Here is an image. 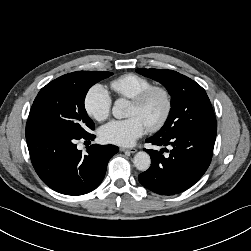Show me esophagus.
Segmentation results:
<instances>
[{"label":"esophagus","instance_id":"1","mask_svg":"<svg viewBox=\"0 0 251 251\" xmlns=\"http://www.w3.org/2000/svg\"><path fill=\"white\" fill-rule=\"evenodd\" d=\"M120 151L122 152H129V153H135L137 151L136 148H120Z\"/></svg>","mask_w":251,"mask_h":251}]
</instances>
